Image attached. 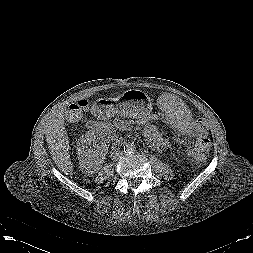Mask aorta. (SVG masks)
Returning a JSON list of instances; mask_svg holds the SVG:
<instances>
[{"label":"aorta","mask_w":253,"mask_h":253,"mask_svg":"<svg viewBox=\"0 0 253 253\" xmlns=\"http://www.w3.org/2000/svg\"><path fill=\"white\" fill-rule=\"evenodd\" d=\"M124 149H125V147H124ZM131 149V147L130 146H126V149L125 150H130Z\"/></svg>","instance_id":"1"}]
</instances>
